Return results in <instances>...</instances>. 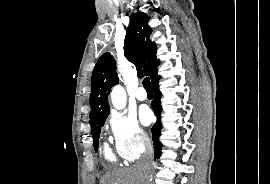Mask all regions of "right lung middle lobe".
Returning a JSON list of instances; mask_svg holds the SVG:
<instances>
[{"label":"right lung middle lobe","instance_id":"dd1d6c3e","mask_svg":"<svg viewBox=\"0 0 270 184\" xmlns=\"http://www.w3.org/2000/svg\"><path fill=\"white\" fill-rule=\"evenodd\" d=\"M104 122L105 121H101V122L91 125V133L93 137V145H94L95 150L98 149L100 130H101V127L104 125Z\"/></svg>","mask_w":270,"mask_h":184}]
</instances>
